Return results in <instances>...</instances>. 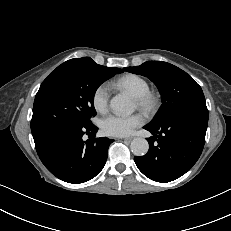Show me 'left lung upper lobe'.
<instances>
[{"label":"left lung upper lobe","instance_id":"5c2ea615","mask_svg":"<svg viewBox=\"0 0 231 231\" xmlns=\"http://www.w3.org/2000/svg\"><path fill=\"white\" fill-rule=\"evenodd\" d=\"M124 70L149 78L161 94L162 106L150 125L160 124L185 110L207 108L201 87L190 75L170 63L147 61Z\"/></svg>","mask_w":231,"mask_h":231}]
</instances>
